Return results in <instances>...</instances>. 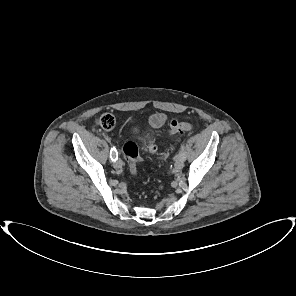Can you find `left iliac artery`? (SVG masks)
Listing matches in <instances>:
<instances>
[{
  "label": "left iliac artery",
  "mask_w": 296,
  "mask_h": 296,
  "mask_svg": "<svg viewBox=\"0 0 296 296\" xmlns=\"http://www.w3.org/2000/svg\"><path fill=\"white\" fill-rule=\"evenodd\" d=\"M179 157L183 158L185 160L186 158V154H185V151H184V147L182 146L181 147V150L179 151Z\"/></svg>",
  "instance_id": "obj_1"
}]
</instances>
